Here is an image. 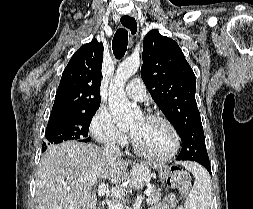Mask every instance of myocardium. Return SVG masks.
Here are the masks:
<instances>
[{
	"label": "myocardium",
	"mask_w": 253,
	"mask_h": 209,
	"mask_svg": "<svg viewBox=\"0 0 253 209\" xmlns=\"http://www.w3.org/2000/svg\"><path fill=\"white\" fill-rule=\"evenodd\" d=\"M145 118L148 119H154V120H159L161 122H163L171 131L172 135H173V147L172 149L165 155L162 156H154L152 154H149L147 152H145L137 143L136 139L132 136V146L134 151L141 156L144 159H147L149 161H153V162H166L168 160H170L171 158H173L177 152L179 151L180 148V135L176 129V127L174 126V124L164 115H161L159 113H147L144 116Z\"/></svg>",
	"instance_id": "obj_1"
}]
</instances>
